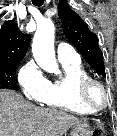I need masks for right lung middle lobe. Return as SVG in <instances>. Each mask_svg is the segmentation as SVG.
<instances>
[{
    "label": "right lung middle lobe",
    "instance_id": "obj_1",
    "mask_svg": "<svg viewBox=\"0 0 117 136\" xmlns=\"http://www.w3.org/2000/svg\"><path fill=\"white\" fill-rule=\"evenodd\" d=\"M18 63H1L0 64V89L17 88V81L15 78L16 66Z\"/></svg>",
    "mask_w": 117,
    "mask_h": 136
}]
</instances>
